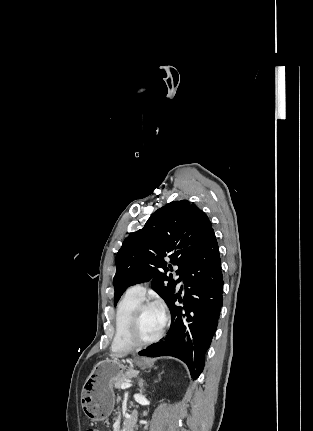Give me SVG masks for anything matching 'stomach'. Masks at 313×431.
<instances>
[{
    "label": "stomach",
    "mask_w": 313,
    "mask_h": 431,
    "mask_svg": "<svg viewBox=\"0 0 313 431\" xmlns=\"http://www.w3.org/2000/svg\"><path fill=\"white\" fill-rule=\"evenodd\" d=\"M132 362L139 367L150 364L147 358H135ZM132 370L114 358H106L94 367L82 387L81 395L82 408L88 419L96 422L108 418L115 401L113 383Z\"/></svg>",
    "instance_id": "stomach-1"
}]
</instances>
